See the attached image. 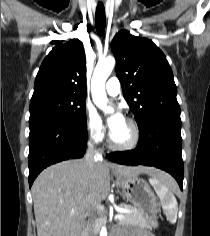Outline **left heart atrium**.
<instances>
[{"mask_svg":"<svg viewBox=\"0 0 210 236\" xmlns=\"http://www.w3.org/2000/svg\"><path fill=\"white\" fill-rule=\"evenodd\" d=\"M125 118L120 111V109H116L106 120L107 126L109 127L110 131L116 130L123 122Z\"/></svg>","mask_w":210,"mask_h":236,"instance_id":"39dd6f15","label":"left heart atrium"}]
</instances>
